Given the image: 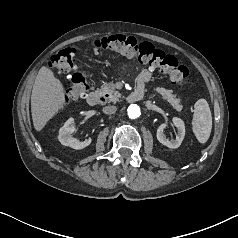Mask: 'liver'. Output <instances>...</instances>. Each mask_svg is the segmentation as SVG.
Masks as SVG:
<instances>
[{"label":"liver","mask_w":238,"mask_h":238,"mask_svg":"<svg viewBox=\"0 0 238 238\" xmlns=\"http://www.w3.org/2000/svg\"><path fill=\"white\" fill-rule=\"evenodd\" d=\"M64 104L63 84L49 68L41 67L31 94V114L35 130L41 131Z\"/></svg>","instance_id":"1"}]
</instances>
